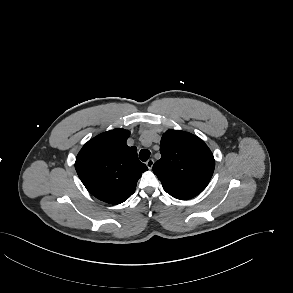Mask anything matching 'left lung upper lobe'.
Instances as JSON below:
<instances>
[{"mask_svg": "<svg viewBox=\"0 0 293 293\" xmlns=\"http://www.w3.org/2000/svg\"><path fill=\"white\" fill-rule=\"evenodd\" d=\"M160 152L161 159L153 165V172L168 194L188 200L206 188L215 160L200 138L188 132L168 130L162 136Z\"/></svg>", "mask_w": 293, "mask_h": 293, "instance_id": "obj_1", "label": "left lung upper lobe"}]
</instances>
